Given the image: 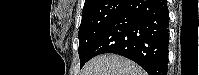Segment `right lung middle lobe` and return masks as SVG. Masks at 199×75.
<instances>
[{"instance_id": "right-lung-middle-lobe-1", "label": "right lung middle lobe", "mask_w": 199, "mask_h": 75, "mask_svg": "<svg viewBox=\"0 0 199 75\" xmlns=\"http://www.w3.org/2000/svg\"><path fill=\"white\" fill-rule=\"evenodd\" d=\"M127 0H105L99 6L83 9L79 28V57L82 66L92 58L93 49Z\"/></svg>"}]
</instances>
